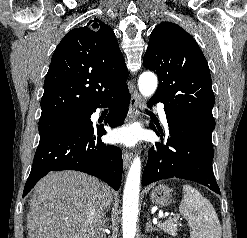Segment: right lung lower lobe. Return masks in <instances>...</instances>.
<instances>
[{
	"label": "right lung lower lobe",
	"instance_id": "right-lung-lower-lobe-1",
	"mask_svg": "<svg viewBox=\"0 0 247 238\" xmlns=\"http://www.w3.org/2000/svg\"><path fill=\"white\" fill-rule=\"evenodd\" d=\"M129 102L130 94L125 85L94 109L84 112L87 119L82 123L69 125L40 138L23 197L48 172L60 170L85 172L118 190L123 169L121 150L101 141V136L106 133L104 126L93 125L90 117L96 108L112 105L105 124L112 128L120 126L127 115Z\"/></svg>",
	"mask_w": 247,
	"mask_h": 238
}]
</instances>
